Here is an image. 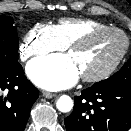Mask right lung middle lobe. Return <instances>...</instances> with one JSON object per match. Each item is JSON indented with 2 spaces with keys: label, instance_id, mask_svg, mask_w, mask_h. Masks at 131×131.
Returning a JSON list of instances; mask_svg holds the SVG:
<instances>
[{
  "label": "right lung middle lobe",
  "instance_id": "obj_1",
  "mask_svg": "<svg viewBox=\"0 0 131 131\" xmlns=\"http://www.w3.org/2000/svg\"><path fill=\"white\" fill-rule=\"evenodd\" d=\"M13 19L8 16H0V69H10L19 63V40L17 29L13 26Z\"/></svg>",
  "mask_w": 131,
  "mask_h": 131
}]
</instances>
